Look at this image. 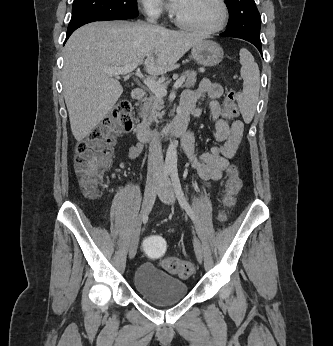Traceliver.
<instances>
[{
    "instance_id": "1",
    "label": "liver",
    "mask_w": 333,
    "mask_h": 346,
    "mask_svg": "<svg viewBox=\"0 0 333 346\" xmlns=\"http://www.w3.org/2000/svg\"><path fill=\"white\" fill-rule=\"evenodd\" d=\"M204 37L146 23L95 22L77 29L64 49L62 84L72 134L82 141L123 93L105 68L144 65L162 75Z\"/></svg>"
}]
</instances>
